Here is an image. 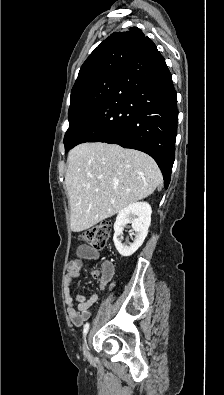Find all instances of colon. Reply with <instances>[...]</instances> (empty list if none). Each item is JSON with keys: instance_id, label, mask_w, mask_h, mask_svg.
Masks as SVG:
<instances>
[{"instance_id": "colon-1", "label": "colon", "mask_w": 224, "mask_h": 395, "mask_svg": "<svg viewBox=\"0 0 224 395\" xmlns=\"http://www.w3.org/2000/svg\"><path fill=\"white\" fill-rule=\"evenodd\" d=\"M111 233V225L109 223H101L82 233V240L95 249L105 247ZM110 271V265H104L99 270L93 271V276L98 280L107 278Z\"/></svg>"}]
</instances>
